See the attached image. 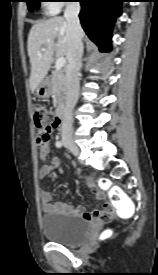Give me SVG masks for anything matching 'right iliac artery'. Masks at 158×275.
I'll return each mask as SVG.
<instances>
[{
	"label": "right iliac artery",
	"mask_w": 158,
	"mask_h": 275,
	"mask_svg": "<svg viewBox=\"0 0 158 275\" xmlns=\"http://www.w3.org/2000/svg\"><path fill=\"white\" fill-rule=\"evenodd\" d=\"M56 146H57L58 148L62 147V142H61V141H57V142H56Z\"/></svg>",
	"instance_id": "obj_1"
}]
</instances>
